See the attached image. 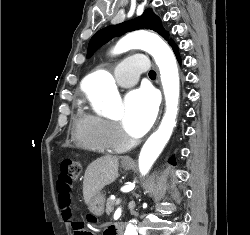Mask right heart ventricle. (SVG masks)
I'll return each mask as SVG.
<instances>
[{
  "instance_id": "right-heart-ventricle-1",
  "label": "right heart ventricle",
  "mask_w": 250,
  "mask_h": 235,
  "mask_svg": "<svg viewBox=\"0 0 250 235\" xmlns=\"http://www.w3.org/2000/svg\"><path fill=\"white\" fill-rule=\"evenodd\" d=\"M106 121L98 114L78 106L74 120L75 138L78 144L91 151L112 153L122 147L111 143L106 135Z\"/></svg>"
}]
</instances>
